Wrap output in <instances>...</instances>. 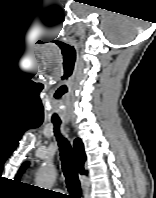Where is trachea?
Returning <instances> with one entry per match:
<instances>
[{"label":"trachea","mask_w":156,"mask_h":198,"mask_svg":"<svg viewBox=\"0 0 156 198\" xmlns=\"http://www.w3.org/2000/svg\"><path fill=\"white\" fill-rule=\"evenodd\" d=\"M52 122L54 124V132L61 152L60 155L62 161V169L64 176L66 177L67 188L68 191L72 194V196H68L67 198H80L81 187L71 146L59 132L60 121Z\"/></svg>","instance_id":"1"}]
</instances>
